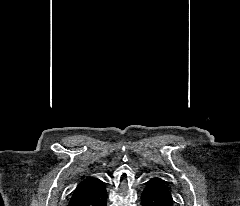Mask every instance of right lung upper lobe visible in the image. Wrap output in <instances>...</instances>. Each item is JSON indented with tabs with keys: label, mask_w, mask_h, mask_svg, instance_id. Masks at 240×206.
Here are the masks:
<instances>
[{
	"label": "right lung upper lobe",
	"mask_w": 240,
	"mask_h": 206,
	"mask_svg": "<svg viewBox=\"0 0 240 206\" xmlns=\"http://www.w3.org/2000/svg\"><path fill=\"white\" fill-rule=\"evenodd\" d=\"M102 184V181L97 178L84 179L75 189L69 204L93 194Z\"/></svg>",
	"instance_id": "obj_1"
}]
</instances>
